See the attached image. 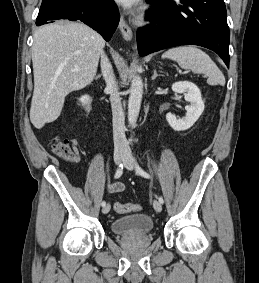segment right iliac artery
Listing matches in <instances>:
<instances>
[{
    "instance_id": "obj_1",
    "label": "right iliac artery",
    "mask_w": 259,
    "mask_h": 283,
    "mask_svg": "<svg viewBox=\"0 0 259 283\" xmlns=\"http://www.w3.org/2000/svg\"><path fill=\"white\" fill-rule=\"evenodd\" d=\"M122 173H123V164H120L118 169H117V171H116V173H115V178L116 179L119 178L122 175ZM101 205H102V207H104L106 205V202L103 201L101 203Z\"/></svg>"
}]
</instances>
